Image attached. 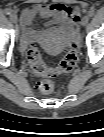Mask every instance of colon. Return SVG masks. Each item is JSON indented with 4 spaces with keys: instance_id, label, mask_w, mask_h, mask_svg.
Returning <instances> with one entry per match:
<instances>
[{
    "instance_id": "colon-1",
    "label": "colon",
    "mask_w": 104,
    "mask_h": 137,
    "mask_svg": "<svg viewBox=\"0 0 104 137\" xmlns=\"http://www.w3.org/2000/svg\"><path fill=\"white\" fill-rule=\"evenodd\" d=\"M26 57L31 70L43 77L38 85L40 92L49 94L54 89V78L59 74L70 72L75 68L79 53L76 44H73L56 67H50L45 64L36 45H31L27 48Z\"/></svg>"
}]
</instances>
